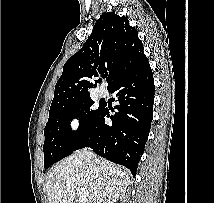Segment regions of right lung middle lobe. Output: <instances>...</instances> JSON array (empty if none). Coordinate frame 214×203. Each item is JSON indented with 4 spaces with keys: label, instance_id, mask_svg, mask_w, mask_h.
Here are the masks:
<instances>
[{
    "label": "right lung middle lobe",
    "instance_id": "dd1d6c3e",
    "mask_svg": "<svg viewBox=\"0 0 214 203\" xmlns=\"http://www.w3.org/2000/svg\"><path fill=\"white\" fill-rule=\"evenodd\" d=\"M94 101L86 97L65 104L49 112L45 126L44 168H49L55 162L70 155L78 144L89 134L102 109V104L96 110L91 109ZM80 120V127L72 131L70 121Z\"/></svg>",
    "mask_w": 214,
    "mask_h": 203
}]
</instances>
